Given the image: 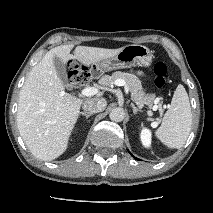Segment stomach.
<instances>
[{
    "label": "stomach",
    "instance_id": "obj_1",
    "mask_svg": "<svg viewBox=\"0 0 213 213\" xmlns=\"http://www.w3.org/2000/svg\"><path fill=\"white\" fill-rule=\"evenodd\" d=\"M152 59L153 55L149 48L143 45L130 44L122 47L115 56L92 64L90 71L94 75H100L114 69L129 68L135 65L149 67Z\"/></svg>",
    "mask_w": 213,
    "mask_h": 213
}]
</instances>
